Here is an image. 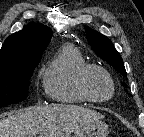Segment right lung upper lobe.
Returning a JSON list of instances; mask_svg holds the SVG:
<instances>
[{"instance_id":"1","label":"right lung upper lobe","mask_w":144,"mask_h":137,"mask_svg":"<svg viewBox=\"0 0 144 137\" xmlns=\"http://www.w3.org/2000/svg\"><path fill=\"white\" fill-rule=\"evenodd\" d=\"M51 37L52 30L49 27L30 22L5 40L0 50V65L40 60Z\"/></svg>"}]
</instances>
